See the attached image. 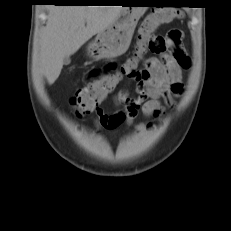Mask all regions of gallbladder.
I'll return each mask as SVG.
<instances>
[{
  "label": "gallbladder",
  "instance_id": "1",
  "mask_svg": "<svg viewBox=\"0 0 231 231\" xmlns=\"http://www.w3.org/2000/svg\"><path fill=\"white\" fill-rule=\"evenodd\" d=\"M71 62L70 58L69 57H65L64 60H63V64L64 65H69Z\"/></svg>",
  "mask_w": 231,
  "mask_h": 231
}]
</instances>
